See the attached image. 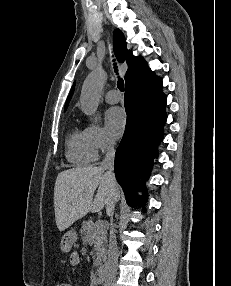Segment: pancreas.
<instances>
[{
	"label": "pancreas",
	"instance_id": "obj_1",
	"mask_svg": "<svg viewBox=\"0 0 231 286\" xmlns=\"http://www.w3.org/2000/svg\"><path fill=\"white\" fill-rule=\"evenodd\" d=\"M80 234L84 244H94L93 266L101 265L102 261H104L106 258V226L104 225L103 227L98 228L92 221H84L80 229Z\"/></svg>",
	"mask_w": 231,
	"mask_h": 286
}]
</instances>
